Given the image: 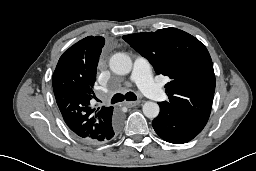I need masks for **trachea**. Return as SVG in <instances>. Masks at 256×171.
Returning a JSON list of instances; mask_svg holds the SVG:
<instances>
[{
  "label": "trachea",
  "instance_id": "trachea-1",
  "mask_svg": "<svg viewBox=\"0 0 256 171\" xmlns=\"http://www.w3.org/2000/svg\"><path fill=\"white\" fill-rule=\"evenodd\" d=\"M124 99H126L127 101H135L137 100V96L133 92H127L125 95L117 93L111 99V104L122 102L124 101Z\"/></svg>",
  "mask_w": 256,
  "mask_h": 171
}]
</instances>
